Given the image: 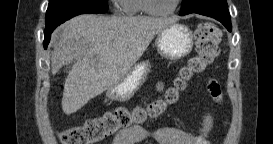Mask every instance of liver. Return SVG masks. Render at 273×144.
Instances as JSON below:
<instances>
[{"mask_svg": "<svg viewBox=\"0 0 273 144\" xmlns=\"http://www.w3.org/2000/svg\"><path fill=\"white\" fill-rule=\"evenodd\" d=\"M167 17L80 15L61 25L51 56L55 75L74 61L66 79L62 109L66 115L119 83L149 46L156 34L175 23Z\"/></svg>", "mask_w": 273, "mask_h": 144, "instance_id": "1", "label": "liver"}]
</instances>
